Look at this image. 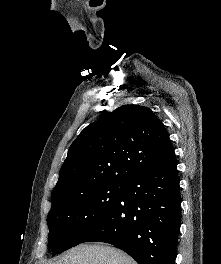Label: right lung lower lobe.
<instances>
[{
    "label": "right lung lower lobe",
    "mask_w": 221,
    "mask_h": 264,
    "mask_svg": "<svg viewBox=\"0 0 221 264\" xmlns=\"http://www.w3.org/2000/svg\"><path fill=\"white\" fill-rule=\"evenodd\" d=\"M180 206L174 156L129 177L115 207L82 242L112 244L138 264H175Z\"/></svg>",
    "instance_id": "right-lung-lower-lobe-1"
}]
</instances>
